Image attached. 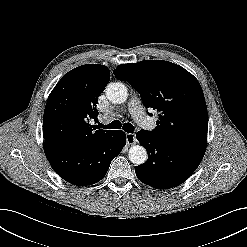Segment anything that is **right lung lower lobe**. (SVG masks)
Masks as SVG:
<instances>
[{"mask_svg":"<svg viewBox=\"0 0 247 247\" xmlns=\"http://www.w3.org/2000/svg\"><path fill=\"white\" fill-rule=\"evenodd\" d=\"M125 140V133L116 130L85 150L74 151L44 142V151L61 178L77 186H87L103 179L112 159L125 145Z\"/></svg>","mask_w":247,"mask_h":247,"instance_id":"right-lung-lower-lobe-1","label":"right lung lower lobe"}]
</instances>
